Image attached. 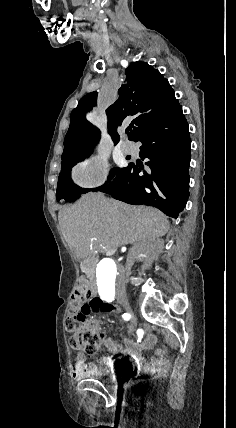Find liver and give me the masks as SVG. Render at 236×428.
<instances>
[{"mask_svg":"<svg viewBox=\"0 0 236 428\" xmlns=\"http://www.w3.org/2000/svg\"><path fill=\"white\" fill-rule=\"evenodd\" d=\"M58 220L78 260L96 252L110 256L119 246L154 240L169 230L168 220L156 208L127 206L103 194H85L71 208L60 210Z\"/></svg>","mask_w":236,"mask_h":428,"instance_id":"1","label":"liver"}]
</instances>
